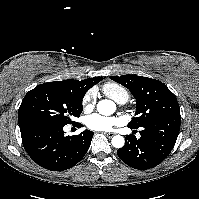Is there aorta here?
I'll list each match as a JSON object with an SVG mask.
<instances>
[{"instance_id": "1", "label": "aorta", "mask_w": 199, "mask_h": 199, "mask_svg": "<svg viewBox=\"0 0 199 199\" xmlns=\"http://www.w3.org/2000/svg\"><path fill=\"white\" fill-rule=\"evenodd\" d=\"M115 110H116V105L111 100H107V99L101 100L97 104V111L101 115H105V116L111 115L115 112ZM111 143L113 147L115 148H122L124 146L125 140H124V137L120 135H116L112 138Z\"/></svg>"}]
</instances>
